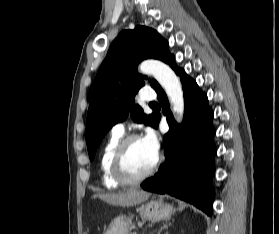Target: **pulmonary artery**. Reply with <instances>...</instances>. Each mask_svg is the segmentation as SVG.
Returning <instances> with one entry per match:
<instances>
[{
  "instance_id": "e3ab8cb5",
  "label": "pulmonary artery",
  "mask_w": 279,
  "mask_h": 234,
  "mask_svg": "<svg viewBox=\"0 0 279 234\" xmlns=\"http://www.w3.org/2000/svg\"><path fill=\"white\" fill-rule=\"evenodd\" d=\"M140 99L146 102L153 101L155 99V92L153 90H149V91L142 90L140 93ZM112 129L114 133L123 134L125 127L124 124L117 123L113 126Z\"/></svg>"
}]
</instances>
